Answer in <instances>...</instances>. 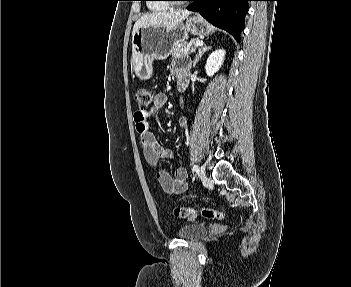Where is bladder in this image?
<instances>
[{
	"mask_svg": "<svg viewBox=\"0 0 351 287\" xmlns=\"http://www.w3.org/2000/svg\"><path fill=\"white\" fill-rule=\"evenodd\" d=\"M206 232L207 228L205 225L189 223L181 226L177 231V235L184 239L195 240L204 236Z\"/></svg>",
	"mask_w": 351,
	"mask_h": 287,
	"instance_id": "1",
	"label": "bladder"
}]
</instances>
